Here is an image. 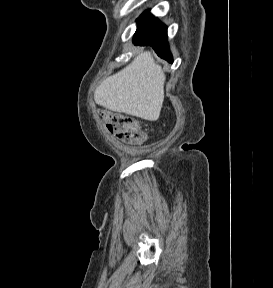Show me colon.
Listing matches in <instances>:
<instances>
[{"mask_svg": "<svg viewBox=\"0 0 273 288\" xmlns=\"http://www.w3.org/2000/svg\"><path fill=\"white\" fill-rule=\"evenodd\" d=\"M100 117L108 131L124 143L140 144L146 138V134L141 129L139 122L130 116L102 110L100 111Z\"/></svg>", "mask_w": 273, "mask_h": 288, "instance_id": "obj_1", "label": "colon"}]
</instances>
